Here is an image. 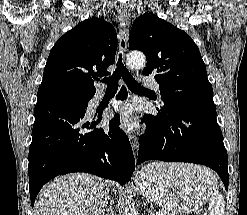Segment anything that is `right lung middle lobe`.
Returning <instances> with one entry per match:
<instances>
[{"mask_svg":"<svg viewBox=\"0 0 247 215\" xmlns=\"http://www.w3.org/2000/svg\"><path fill=\"white\" fill-rule=\"evenodd\" d=\"M51 90L58 95H62V96H65L67 98L77 100V101H83L88 97L87 95H82V94L69 91V90H65V89L53 88Z\"/></svg>","mask_w":247,"mask_h":215,"instance_id":"obj_1","label":"right lung middle lobe"}]
</instances>
